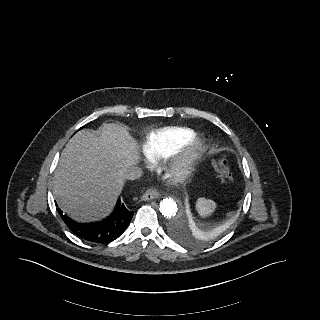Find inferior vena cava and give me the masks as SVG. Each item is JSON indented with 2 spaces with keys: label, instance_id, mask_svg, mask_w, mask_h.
<instances>
[{
  "label": "inferior vena cava",
  "instance_id": "inferior-vena-cava-1",
  "mask_svg": "<svg viewBox=\"0 0 320 320\" xmlns=\"http://www.w3.org/2000/svg\"><path fill=\"white\" fill-rule=\"evenodd\" d=\"M143 172L140 168L132 167L128 169L124 175L125 179L135 180L142 176Z\"/></svg>",
  "mask_w": 320,
  "mask_h": 320
}]
</instances>
